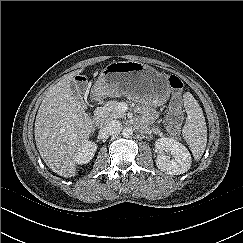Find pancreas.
Here are the masks:
<instances>
[{
  "label": "pancreas",
  "instance_id": "cf45deb5",
  "mask_svg": "<svg viewBox=\"0 0 243 243\" xmlns=\"http://www.w3.org/2000/svg\"><path fill=\"white\" fill-rule=\"evenodd\" d=\"M103 117L106 119H116L125 117L126 113L120 109V103L116 100L107 101L103 107H101ZM155 133H158V130L154 129Z\"/></svg>",
  "mask_w": 243,
  "mask_h": 243
}]
</instances>
